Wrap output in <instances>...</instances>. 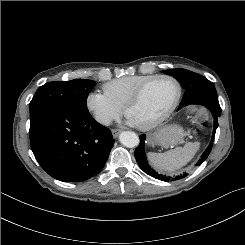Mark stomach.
<instances>
[{
  "instance_id": "stomach-1",
  "label": "stomach",
  "mask_w": 245,
  "mask_h": 245,
  "mask_svg": "<svg viewBox=\"0 0 245 245\" xmlns=\"http://www.w3.org/2000/svg\"><path fill=\"white\" fill-rule=\"evenodd\" d=\"M184 137V130L178 125H166L158 128L150 138L151 144L171 147L179 144Z\"/></svg>"
}]
</instances>
